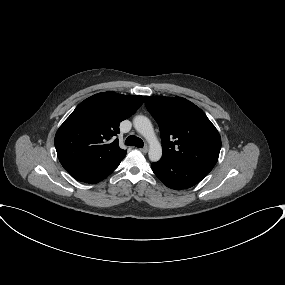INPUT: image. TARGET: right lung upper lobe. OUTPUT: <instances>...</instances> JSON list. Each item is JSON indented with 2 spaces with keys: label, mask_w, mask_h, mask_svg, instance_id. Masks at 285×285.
Wrapping results in <instances>:
<instances>
[{
  "label": "right lung upper lobe",
  "mask_w": 285,
  "mask_h": 285,
  "mask_svg": "<svg viewBox=\"0 0 285 285\" xmlns=\"http://www.w3.org/2000/svg\"><path fill=\"white\" fill-rule=\"evenodd\" d=\"M140 95L113 91L95 94L81 102L55 135V148L62 166L69 171L98 174L117 167L127 151L119 147L121 121L142 105Z\"/></svg>",
  "instance_id": "obj_1"
}]
</instances>
